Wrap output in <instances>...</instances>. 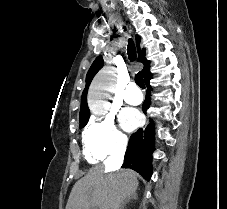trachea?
I'll list each match as a JSON object with an SVG mask.
<instances>
[{
	"instance_id": "3493384b",
	"label": "trachea",
	"mask_w": 227,
	"mask_h": 209,
	"mask_svg": "<svg viewBox=\"0 0 227 209\" xmlns=\"http://www.w3.org/2000/svg\"><path fill=\"white\" fill-rule=\"evenodd\" d=\"M124 30H126V27H124ZM128 58L130 61H134L136 59V47L132 39L128 40ZM135 82L141 89L145 88V83L141 72H138L135 75Z\"/></svg>"
}]
</instances>
